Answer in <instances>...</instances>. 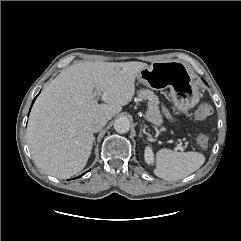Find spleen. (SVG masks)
<instances>
[{
    "label": "spleen",
    "mask_w": 241,
    "mask_h": 241,
    "mask_svg": "<svg viewBox=\"0 0 241 241\" xmlns=\"http://www.w3.org/2000/svg\"><path fill=\"white\" fill-rule=\"evenodd\" d=\"M204 162L205 157L199 152H176L164 148L156 154L154 174L168 181L179 180L198 170Z\"/></svg>",
    "instance_id": "1"
}]
</instances>
